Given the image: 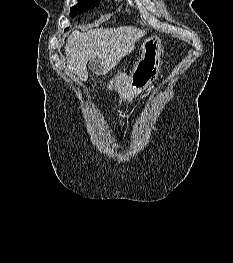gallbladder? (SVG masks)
Masks as SVG:
<instances>
[{"label": "gallbladder", "mask_w": 233, "mask_h": 263, "mask_svg": "<svg viewBox=\"0 0 233 263\" xmlns=\"http://www.w3.org/2000/svg\"><path fill=\"white\" fill-rule=\"evenodd\" d=\"M98 65V59L95 58L93 60H90L88 63L89 70L96 72V66Z\"/></svg>", "instance_id": "1"}]
</instances>
